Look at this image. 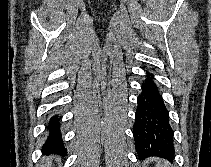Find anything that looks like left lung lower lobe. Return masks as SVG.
<instances>
[{
    "label": "left lung lower lobe",
    "instance_id": "left-lung-lower-lobe-1",
    "mask_svg": "<svg viewBox=\"0 0 211 167\" xmlns=\"http://www.w3.org/2000/svg\"><path fill=\"white\" fill-rule=\"evenodd\" d=\"M154 76L147 75L142 83L135 112L133 135L135 148L141 158L158 156L172 160L175 150L169 113L159 94Z\"/></svg>",
    "mask_w": 211,
    "mask_h": 167
}]
</instances>
